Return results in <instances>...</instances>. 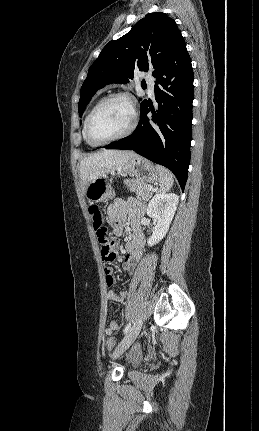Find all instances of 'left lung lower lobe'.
Masks as SVG:
<instances>
[{
  "label": "left lung lower lobe",
  "instance_id": "obj_1",
  "mask_svg": "<svg viewBox=\"0 0 259 431\" xmlns=\"http://www.w3.org/2000/svg\"><path fill=\"white\" fill-rule=\"evenodd\" d=\"M158 109L145 100L133 134L105 148L134 150L170 169L184 190L190 165L192 102L194 99L191 59L182 39L154 76ZM151 112L149 119L147 114Z\"/></svg>",
  "mask_w": 259,
  "mask_h": 431
}]
</instances>
